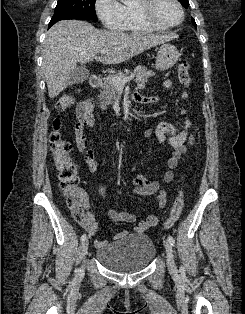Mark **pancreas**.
<instances>
[{
	"label": "pancreas",
	"mask_w": 245,
	"mask_h": 314,
	"mask_svg": "<svg viewBox=\"0 0 245 314\" xmlns=\"http://www.w3.org/2000/svg\"><path fill=\"white\" fill-rule=\"evenodd\" d=\"M133 74L135 75L134 81L138 84L145 83L150 77L154 76V73L144 66H137L134 69ZM112 77L124 78L127 77V73L120 71L116 75H109L103 79L99 95L101 101L100 107L103 110H106L107 105L111 104L116 99L117 87L113 84Z\"/></svg>",
	"instance_id": "1"
}]
</instances>
